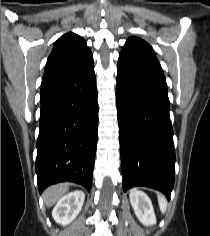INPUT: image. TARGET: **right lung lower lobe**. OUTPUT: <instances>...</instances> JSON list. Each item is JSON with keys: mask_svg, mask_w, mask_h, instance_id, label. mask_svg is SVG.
Segmentation results:
<instances>
[{"mask_svg": "<svg viewBox=\"0 0 210 236\" xmlns=\"http://www.w3.org/2000/svg\"><path fill=\"white\" fill-rule=\"evenodd\" d=\"M36 173L39 192L63 181L91 188L98 128L94 64L42 85Z\"/></svg>", "mask_w": 210, "mask_h": 236, "instance_id": "right-lung-lower-lobe-1", "label": "right lung lower lobe"}]
</instances>
